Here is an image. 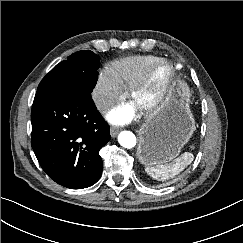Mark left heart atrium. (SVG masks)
Here are the masks:
<instances>
[{
    "label": "left heart atrium",
    "mask_w": 243,
    "mask_h": 243,
    "mask_svg": "<svg viewBox=\"0 0 243 243\" xmlns=\"http://www.w3.org/2000/svg\"><path fill=\"white\" fill-rule=\"evenodd\" d=\"M135 114L133 105H121L113 109L108 115V120L113 124H124L129 122Z\"/></svg>",
    "instance_id": "obj_1"
}]
</instances>
